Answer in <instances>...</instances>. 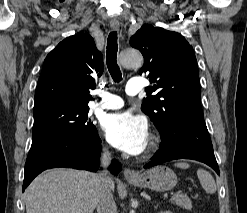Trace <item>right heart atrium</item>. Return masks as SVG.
<instances>
[{
    "label": "right heart atrium",
    "instance_id": "1",
    "mask_svg": "<svg viewBox=\"0 0 247 213\" xmlns=\"http://www.w3.org/2000/svg\"><path fill=\"white\" fill-rule=\"evenodd\" d=\"M104 152H105L106 154H109V153H110L107 147L104 148Z\"/></svg>",
    "mask_w": 247,
    "mask_h": 213
}]
</instances>
